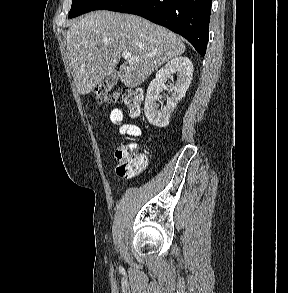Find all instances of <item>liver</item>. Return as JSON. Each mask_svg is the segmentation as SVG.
<instances>
[{
    "instance_id": "liver-1",
    "label": "liver",
    "mask_w": 288,
    "mask_h": 293,
    "mask_svg": "<svg viewBox=\"0 0 288 293\" xmlns=\"http://www.w3.org/2000/svg\"><path fill=\"white\" fill-rule=\"evenodd\" d=\"M66 40L72 75L82 95L114 71L124 51L139 57L120 65L118 72L126 87L135 88L186 48L180 37L164 27L136 15L106 10L73 21Z\"/></svg>"
}]
</instances>
